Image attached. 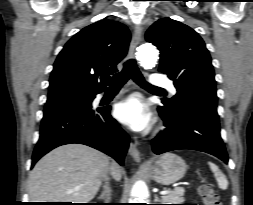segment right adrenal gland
I'll use <instances>...</instances> for the list:
<instances>
[{
	"label": "right adrenal gland",
	"mask_w": 253,
	"mask_h": 205,
	"mask_svg": "<svg viewBox=\"0 0 253 205\" xmlns=\"http://www.w3.org/2000/svg\"><path fill=\"white\" fill-rule=\"evenodd\" d=\"M106 189H107V192H109V187H108V185H106ZM105 198V193H102L99 197H98V199H104Z\"/></svg>",
	"instance_id": "right-adrenal-gland-1"
}]
</instances>
